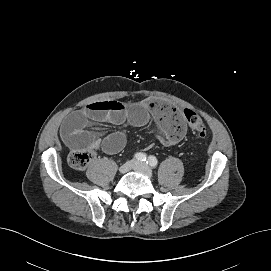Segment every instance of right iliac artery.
I'll return each instance as SVG.
<instances>
[{"instance_id":"1","label":"right iliac artery","mask_w":271,"mask_h":271,"mask_svg":"<svg viewBox=\"0 0 271 271\" xmlns=\"http://www.w3.org/2000/svg\"><path fill=\"white\" fill-rule=\"evenodd\" d=\"M134 159L140 162H145L147 160V156L144 153H137L135 154Z\"/></svg>"}]
</instances>
